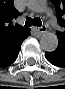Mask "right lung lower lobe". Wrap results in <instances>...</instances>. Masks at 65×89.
I'll return each mask as SVG.
<instances>
[{
    "label": "right lung lower lobe",
    "instance_id": "right-lung-lower-lobe-1",
    "mask_svg": "<svg viewBox=\"0 0 65 89\" xmlns=\"http://www.w3.org/2000/svg\"><path fill=\"white\" fill-rule=\"evenodd\" d=\"M29 35L30 30L18 37L0 41V68L10 65L16 60L22 42Z\"/></svg>",
    "mask_w": 65,
    "mask_h": 89
}]
</instances>
